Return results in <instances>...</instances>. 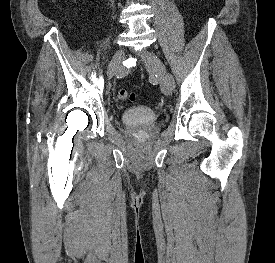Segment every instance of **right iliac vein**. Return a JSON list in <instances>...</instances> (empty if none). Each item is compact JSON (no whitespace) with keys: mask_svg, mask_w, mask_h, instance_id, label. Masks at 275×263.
Wrapping results in <instances>:
<instances>
[{"mask_svg":"<svg viewBox=\"0 0 275 263\" xmlns=\"http://www.w3.org/2000/svg\"><path fill=\"white\" fill-rule=\"evenodd\" d=\"M125 57V51L123 49H119L113 56L107 70L108 77L113 76L121 66V63Z\"/></svg>","mask_w":275,"mask_h":263,"instance_id":"1","label":"right iliac vein"}]
</instances>
